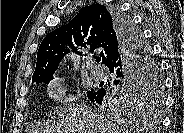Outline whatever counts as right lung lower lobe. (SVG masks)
Listing matches in <instances>:
<instances>
[{"label": "right lung lower lobe", "instance_id": "98d812e1", "mask_svg": "<svg viewBox=\"0 0 184 133\" xmlns=\"http://www.w3.org/2000/svg\"><path fill=\"white\" fill-rule=\"evenodd\" d=\"M111 11L121 39V48L106 66L115 77L114 84L118 88L113 92L99 89L87 94L89 100L100 105L111 104L113 98L124 96L131 85L140 82L145 65L142 52L145 48L133 35L129 20L119 10Z\"/></svg>", "mask_w": 184, "mask_h": 133}]
</instances>
